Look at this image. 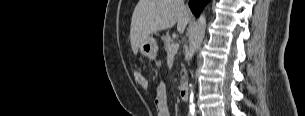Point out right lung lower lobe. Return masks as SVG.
I'll return each instance as SVG.
<instances>
[{
    "label": "right lung lower lobe",
    "instance_id": "98d812e1",
    "mask_svg": "<svg viewBox=\"0 0 305 116\" xmlns=\"http://www.w3.org/2000/svg\"><path fill=\"white\" fill-rule=\"evenodd\" d=\"M209 0H189V6L191 11L196 15L199 16L200 11L202 10L203 6Z\"/></svg>",
    "mask_w": 305,
    "mask_h": 116
}]
</instances>
